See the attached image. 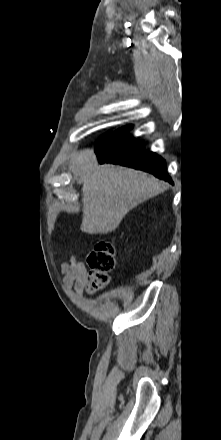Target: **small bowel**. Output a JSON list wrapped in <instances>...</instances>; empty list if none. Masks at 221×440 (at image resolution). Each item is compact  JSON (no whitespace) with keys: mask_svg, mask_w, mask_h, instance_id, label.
<instances>
[{"mask_svg":"<svg viewBox=\"0 0 221 440\" xmlns=\"http://www.w3.org/2000/svg\"><path fill=\"white\" fill-rule=\"evenodd\" d=\"M61 272L64 275V288L67 290L73 288L79 297H82L85 291L95 297L104 289L103 284L95 275L88 271L85 264L74 256L62 263Z\"/></svg>","mask_w":221,"mask_h":440,"instance_id":"c3829d8e","label":"small bowel"}]
</instances>
